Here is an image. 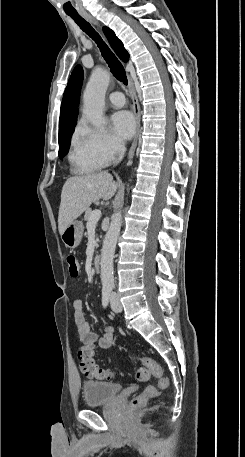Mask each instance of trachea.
Listing matches in <instances>:
<instances>
[{
	"label": "trachea",
	"instance_id": "trachea-1",
	"mask_svg": "<svg viewBox=\"0 0 245 457\" xmlns=\"http://www.w3.org/2000/svg\"><path fill=\"white\" fill-rule=\"evenodd\" d=\"M67 15H69L79 25V27L97 43L102 56L106 60V63L110 67L114 77H116L119 82L127 85V76L123 65L115 57L106 43H104L98 33L78 13H67Z\"/></svg>",
	"mask_w": 245,
	"mask_h": 457
}]
</instances>
